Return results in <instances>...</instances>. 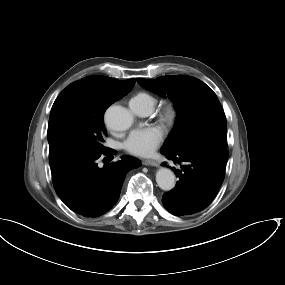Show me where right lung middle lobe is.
Returning <instances> with one entry per match:
<instances>
[{"label":"right lung middle lobe","instance_id":"dd1d6c3e","mask_svg":"<svg viewBox=\"0 0 285 285\" xmlns=\"http://www.w3.org/2000/svg\"><path fill=\"white\" fill-rule=\"evenodd\" d=\"M119 100L104 88L79 80L55 100L49 118L50 167L81 155L102 153L105 110Z\"/></svg>","mask_w":285,"mask_h":285}]
</instances>
